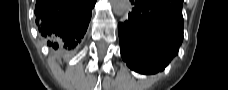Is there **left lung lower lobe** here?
Masks as SVG:
<instances>
[{
  "mask_svg": "<svg viewBox=\"0 0 228 90\" xmlns=\"http://www.w3.org/2000/svg\"><path fill=\"white\" fill-rule=\"evenodd\" d=\"M183 0H131L128 20L119 23L121 56L142 74L164 70L183 41Z\"/></svg>",
  "mask_w": 228,
  "mask_h": 90,
  "instance_id": "left-lung-lower-lobe-1",
  "label": "left lung lower lobe"
}]
</instances>
